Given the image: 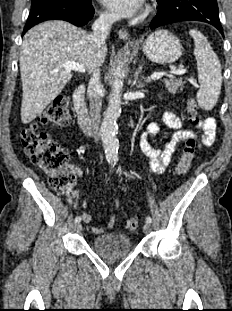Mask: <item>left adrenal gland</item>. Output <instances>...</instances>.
I'll return each instance as SVG.
<instances>
[{"label": "left adrenal gland", "instance_id": "obj_1", "mask_svg": "<svg viewBox=\"0 0 232 311\" xmlns=\"http://www.w3.org/2000/svg\"><path fill=\"white\" fill-rule=\"evenodd\" d=\"M142 68H143V65H141L138 70L136 71L135 73V76H134V82L133 84H136L137 83V80H138V77H139V74L141 73L142 71ZM138 88H143L145 86V84L141 81H139V83L136 85Z\"/></svg>", "mask_w": 232, "mask_h": 311}]
</instances>
